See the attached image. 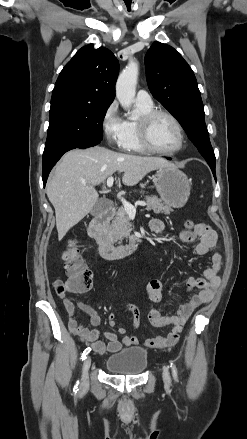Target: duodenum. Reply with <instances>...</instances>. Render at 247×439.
Here are the masks:
<instances>
[{"label": "duodenum", "mask_w": 247, "mask_h": 439, "mask_svg": "<svg viewBox=\"0 0 247 439\" xmlns=\"http://www.w3.org/2000/svg\"><path fill=\"white\" fill-rule=\"evenodd\" d=\"M114 210V207L110 206L97 215L88 226V234L97 242L101 256L109 260L128 256L139 247V241L137 239H133L123 245H115L109 239L106 233V226L112 219Z\"/></svg>", "instance_id": "1"}]
</instances>
